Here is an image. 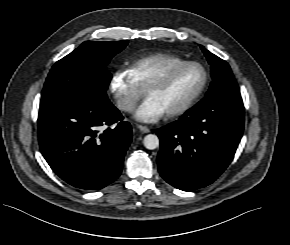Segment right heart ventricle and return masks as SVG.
I'll return each instance as SVG.
<instances>
[{"mask_svg": "<svg viewBox=\"0 0 290 245\" xmlns=\"http://www.w3.org/2000/svg\"><path fill=\"white\" fill-rule=\"evenodd\" d=\"M185 62L173 54H154L135 61L129 68L140 87H145L157 74L169 66Z\"/></svg>", "mask_w": 290, "mask_h": 245, "instance_id": "e07e8e85", "label": "right heart ventricle"}]
</instances>
